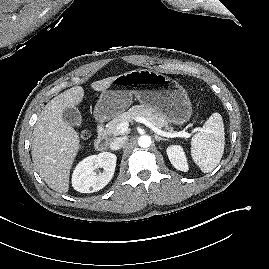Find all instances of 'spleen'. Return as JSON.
I'll use <instances>...</instances> for the list:
<instances>
[{
    "instance_id": "3e777b00",
    "label": "spleen",
    "mask_w": 269,
    "mask_h": 269,
    "mask_svg": "<svg viewBox=\"0 0 269 269\" xmlns=\"http://www.w3.org/2000/svg\"><path fill=\"white\" fill-rule=\"evenodd\" d=\"M225 147V131L222 116L213 113L200 133L191 141V156L204 173L211 172L219 164Z\"/></svg>"
}]
</instances>
